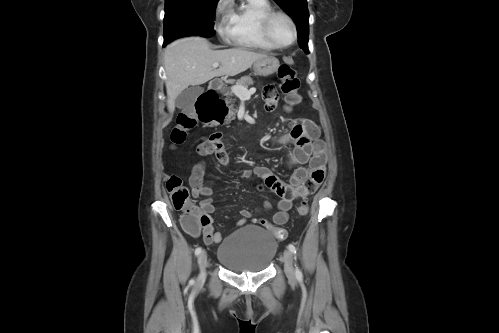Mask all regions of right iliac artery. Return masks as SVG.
I'll return each instance as SVG.
<instances>
[{"instance_id":"1","label":"right iliac artery","mask_w":499,"mask_h":333,"mask_svg":"<svg viewBox=\"0 0 499 333\" xmlns=\"http://www.w3.org/2000/svg\"><path fill=\"white\" fill-rule=\"evenodd\" d=\"M201 251H202L201 247L196 248L195 255L198 256L201 253Z\"/></svg>"}]
</instances>
